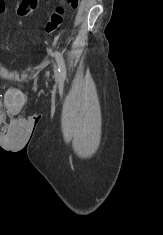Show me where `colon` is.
<instances>
[{"label":"colon","instance_id":"colon-1","mask_svg":"<svg viewBox=\"0 0 163 235\" xmlns=\"http://www.w3.org/2000/svg\"><path fill=\"white\" fill-rule=\"evenodd\" d=\"M79 5V0H62L61 5L49 16L47 22L44 25V29L48 33L56 31L63 22L65 7L76 9ZM37 7V0H22L16 9V13L25 17L34 12ZM5 9V1L0 0V13Z\"/></svg>","mask_w":163,"mask_h":235}]
</instances>
